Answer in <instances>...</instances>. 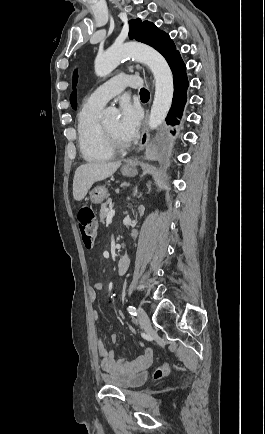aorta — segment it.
<instances>
[{"label": "aorta", "mask_w": 265, "mask_h": 434, "mask_svg": "<svg viewBox=\"0 0 265 434\" xmlns=\"http://www.w3.org/2000/svg\"><path fill=\"white\" fill-rule=\"evenodd\" d=\"M135 58L137 62L146 64L151 70L155 80V96L151 108L148 126L150 130H156L164 122L172 104L174 86L173 74L163 56L145 44H123V46H111L104 54H98L94 62L96 76L104 78L111 74L119 66L122 58ZM105 118L118 116L115 108L104 110Z\"/></svg>", "instance_id": "obj_1"}]
</instances>
